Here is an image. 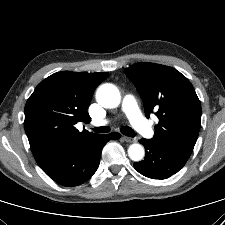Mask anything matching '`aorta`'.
Instances as JSON below:
<instances>
[{"label":"aorta","mask_w":225,"mask_h":225,"mask_svg":"<svg viewBox=\"0 0 225 225\" xmlns=\"http://www.w3.org/2000/svg\"><path fill=\"white\" fill-rule=\"evenodd\" d=\"M96 100L102 107L112 109L119 106L121 95L115 85L105 83L97 89ZM144 154V148L140 144H132L128 148V155L133 161H141Z\"/></svg>","instance_id":"obj_1"}]
</instances>
